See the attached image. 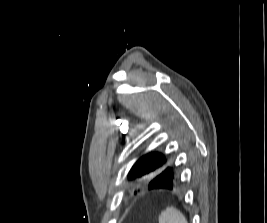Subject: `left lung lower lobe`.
<instances>
[{
  "label": "left lung lower lobe",
  "instance_id": "obj_1",
  "mask_svg": "<svg viewBox=\"0 0 267 223\" xmlns=\"http://www.w3.org/2000/svg\"><path fill=\"white\" fill-rule=\"evenodd\" d=\"M182 171H169L166 173H155V179L151 182H142L140 190H145V195H174L176 187H183L179 182Z\"/></svg>",
  "mask_w": 267,
  "mask_h": 223
}]
</instances>
